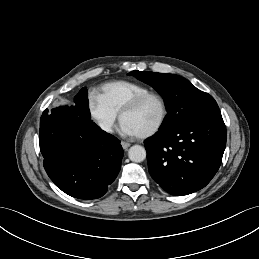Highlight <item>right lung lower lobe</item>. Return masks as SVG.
I'll return each instance as SVG.
<instances>
[{"label": "right lung lower lobe", "instance_id": "right-lung-lower-lobe-1", "mask_svg": "<svg viewBox=\"0 0 259 259\" xmlns=\"http://www.w3.org/2000/svg\"><path fill=\"white\" fill-rule=\"evenodd\" d=\"M44 168L66 194L79 199L103 196L117 177L123 157L120 141L75 107H59L40 119Z\"/></svg>", "mask_w": 259, "mask_h": 259}]
</instances>
